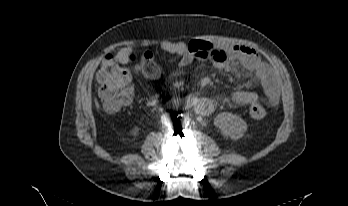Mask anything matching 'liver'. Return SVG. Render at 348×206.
<instances>
[{"label":"liver","mask_w":348,"mask_h":206,"mask_svg":"<svg viewBox=\"0 0 348 206\" xmlns=\"http://www.w3.org/2000/svg\"><path fill=\"white\" fill-rule=\"evenodd\" d=\"M95 103H96V106L98 107V103H97V100L95 99Z\"/></svg>","instance_id":"1"}]
</instances>
